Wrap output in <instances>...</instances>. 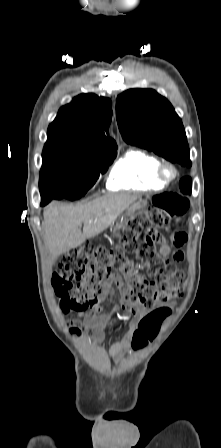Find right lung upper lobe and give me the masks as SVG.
Masks as SVG:
<instances>
[{
    "mask_svg": "<svg viewBox=\"0 0 221 448\" xmlns=\"http://www.w3.org/2000/svg\"><path fill=\"white\" fill-rule=\"evenodd\" d=\"M112 119L111 101L95 94H81L60 108L49 125L44 150L66 149L88 156L115 153L117 145L106 138Z\"/></svg>",
    "mask_w": 221,
    "mask_h": 448,
    "instance_id": "right-lung-upper-lobe-1",
    "label": "right lung upper lobe"
}]
</instances>
